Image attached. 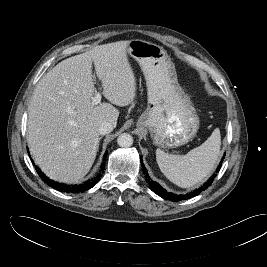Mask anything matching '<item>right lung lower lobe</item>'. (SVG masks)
<instances>
[{"mask_svg": "<svg viewBox=\"0 0 267 267\" xmlns=\"http://www.w3.org/2000/svg\"><path fill=\"white\" fill-rule=\"evenodd\" d=\"M106 157H107V151L104 154L102 167H101V170L98 173V175L96 177H94L93 179L88 180L84 184H81V185H66V184H60V183L54 182V181L50 180L48 177H46V175L43 174L38 167H35V168H36V171L38 172L39 176L41 177V179L45 183H47L50 187L57 189L61 192L79 193V192H84V191L92 188L99 181V179H100V177H101V175L105 169V162L104 161H105Z\"/></svg>", "mask_w": 267, "mask_h": 267, "instance_id": "1", "label": "right lung lower lobe"}]
</instances>
